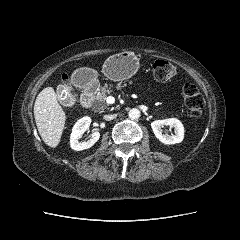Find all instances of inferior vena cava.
<instances>
[{"mask_svg":"<svg viewBox=\"0 0 240 240\" xmlns=\"http://www.w3.org/2000/svg\"><path fill=\"white\" fill-rule=\"evenodd\" d=\"M116 117L115 114H111V115H104V119L107 121L113 120Z\"/></svg>","mask_w":240,"mask_h":240,"instance_id":"obj_1","label":"inferior vena cava"}]
</instances>
